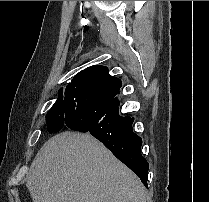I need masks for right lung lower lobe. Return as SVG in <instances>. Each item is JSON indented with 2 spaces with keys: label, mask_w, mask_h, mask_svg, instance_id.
Returning <instances> with one entry per match:
<instances>
[{
  "label": "right lung lower lobe",
  "mask_w": 209,
  "mask_h": 202,
  "mask_svg": "<svg viewBox=\"0 0 209 202\" xmlns=\"http://www.w3.org/2000/svg\"><path fill=\"white\" fill-rule=\"evenodd\" d=\"M121 86V80L109 74L92 79L80 91L79 110L65 121V126L92 134L148 187L149 165L141 154L142 139L133 132L134 118L118 112L116 95Z\"/></svg>",
  "instance_id": "98d812e1"
}]
</instances>
